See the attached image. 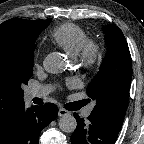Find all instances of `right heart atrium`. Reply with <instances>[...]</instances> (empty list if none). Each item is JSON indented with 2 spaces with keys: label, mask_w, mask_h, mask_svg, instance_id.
Wrapping results in <instances>:
<instances>
[{
  "label": "right heart atrium",
  "mask_w": 144,
  "mask_h": 144,
  "mask_svg": "<svg viewBox=\"0 0 144 144\" xmlns=\"http://www.w3.org/2000/svg\"><path fill=\"white\" fill-rule=\"evenodd\" d=\"M35 65L38 66V62H35Z\"/></svg>",
  "instance_id": "d8ad5b80"
}]
</instances>
